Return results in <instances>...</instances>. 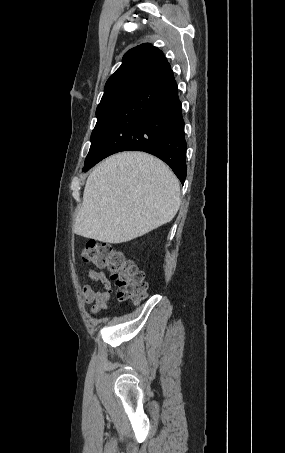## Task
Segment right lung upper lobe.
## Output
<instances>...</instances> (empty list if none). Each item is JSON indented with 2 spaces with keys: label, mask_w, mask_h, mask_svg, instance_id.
<instances>
[{
  "label": "right lung upper lobe",
  "mask_w": 285,
  "mask_h": 453,
  "mask_svg": "<svg viewBox=\"0 0 285 453\" xmlns=\"http://www.w3.org/2000/svg\"><path fill=\"white\" fill-rule=\"evenodd\" d=\"M170 69L162 51L144 43L130 49L121 66L106 82L101 103L116 97L134 94L152 78Z\"/></svg>",
  "instance_id": "cb5924a9"
}]
</instances>
